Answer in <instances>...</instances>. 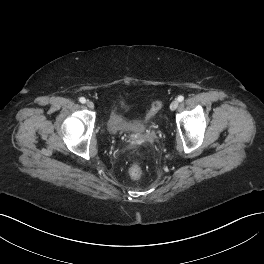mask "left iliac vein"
<instances>
[{"mask_svg":"<svg viewBox=\"0 0 264 264\" xmlns=\"http://www.w3.org/2000/svg\"><path fill=\"white\" fill-rule=\"evenodd\" d=\"M178 105H179V102H178L177 100H174V101H172L171 104H170V109H171L172 111H173V110H176L177 107H178Z\"/></svg>","mask_w":264,"mask_h":264,"instance_id":"left-iliac-vein-1","label":"left iliac vein"}]
</instances>
